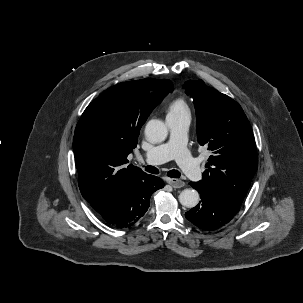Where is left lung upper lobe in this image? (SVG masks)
Segmentation results:
<instances>
[{"instance_id": "obj_1", "label": "left lung upper lobe", "mask_w": 303, "mask_h": 303, "mask_svg": "<svg viewBox=\"0 0 303 303\" xmlns=\"http://www.w3.org/2000/svg\"><path fill=\"white\" fill-rule=\"evenodd\" d=\"M184 88L194 100L198 142L211 152L200 182L242 204L258 165L250 123L236 101L204 81Z\"/></svg>"}]
</instances>
